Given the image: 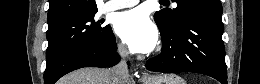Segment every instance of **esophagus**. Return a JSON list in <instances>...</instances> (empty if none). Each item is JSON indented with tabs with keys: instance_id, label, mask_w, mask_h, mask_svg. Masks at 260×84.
Instances as JSON below:
<instances>
[{
	"instance_id": "obj_1",
	"label": "esophagus",
	"mask_w": 260,
	"mask_h": 84,
	"mask_svg": "<svg viewBox=\"0 0 260 84\" xmlns=\"http://www.w3.org/2000/svg\"><path fill=\"white\" fill-rule=\"evenodd\" d=\"M141 78L145 80L148 78V75L145 72H141Z\"/></svg>"
}]
</instances>
